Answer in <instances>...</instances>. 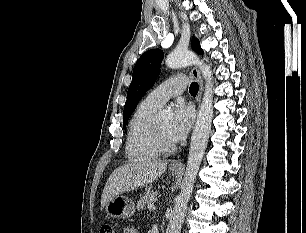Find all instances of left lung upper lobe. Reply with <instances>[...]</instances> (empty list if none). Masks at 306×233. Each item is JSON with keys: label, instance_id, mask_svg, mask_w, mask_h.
I'll return each instance as SVG.
<instances>
[{"label": "left lung upper lobe", "instance_id": "left-lung-upper-lobe-1", "mask_svg": "<svg viewBox=\"0 0 306 233\" xmlns=\"http://www.w3.org/2000/svg\"><path fill=\"white\" fill-rule=\"evenodd\" d=\"M191 46L194 51L199 54H203V50L200 47L199 40L195 37L192 38ZM163 56L164 54L162 50H149L139 58L136 65L134 66L133 79L129 86L127 92V100L124 106V127L131 114L133 113L137 103L155 83L156 78L160 73V65Z\"/></svg>", "mask_w": 306, "mask_h": 233}]
</instances>
